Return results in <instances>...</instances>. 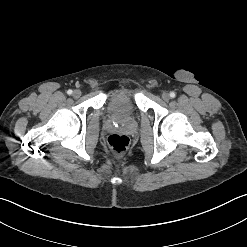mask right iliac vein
<instances>
[{"label":"right iliac vein","instance_id":"right-iliac-vein-1","mask_svg":"<svg viewBox=\"0 0 247 247\" xmlns=\"http://www.w3.org/2000/svg\"><path fill=\"white\" fill-rule=\"evenodd\" d=\"M81 96V91L76 89L73 91V97L74 98H79Z\"/></svg>","mask_w":247,"mask_h":247}]
</instances>
